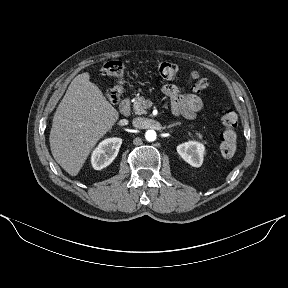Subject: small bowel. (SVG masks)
Segmentation results:
<instances>
[{
  "instance_id": "c3829d8e",
  "label": "small bowel",
  "mask_w": 288,
  "mask_h": 288,
  "mask_svg": "<svg viewBox=\"0 0 288 288\" xmlns=\"http://www.w3.org/2000/svg\"><path fill=\"white\" fill-rule=\"evenodd\" d=\"M162 92L170 98L175 114L191 119L203 108V101L194 88L190 94H181L176 85L166 84L163 86Z\"/></svg>"
}]
</instances>
